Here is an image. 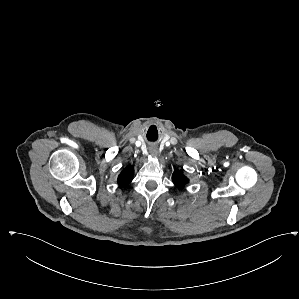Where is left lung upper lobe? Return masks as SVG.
Instances as JSON below:
<instances>
[{
  "label": "left lung upper lobe",
  "instance_id": "5c2ea615",
  "mask_svg": "<svg viewBox=\"0 0 299 299\" xmlns=\"http://www.w3.org/2000/svg\"><path fill=\"white\" fill-rule=\"evenodd\" d=\"M173 182L179 188H182L186 183H188V179L183 175L182 171L175 170L172 174Z\"/></svg>",
  "mask_w": 299,
  "mask_h": 299
}]
</instances>
